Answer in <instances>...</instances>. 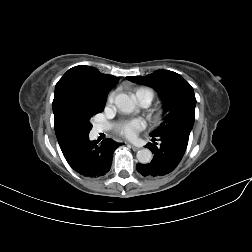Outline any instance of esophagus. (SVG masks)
I'll list each match as a JSON object with an SVG mask.
<instances>
[{"label": "esophagus", "instance_id": "34e87169", "mask_svg": "<svg viewBox=\"0 0 252 252\" xmlns=\"http://www.w3.org/2000/svg\"><path fill=\"white\" fill-rule=\"evenodd\" d=\"M131 147H132V149H133L134 151H137V150L140 149L138 146H135V145H133V144H131Z\"/></svg>", "mask_w": 252, "mask_h": 252}]
</instances>
